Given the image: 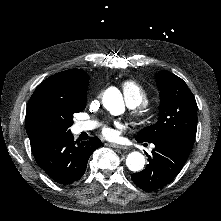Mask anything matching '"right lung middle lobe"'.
Wrapping results in <instances>:
<instances>
[{
	"instance_id": "right-lung-middle-lobe-1",
	"label": "right lung middle lobe",
	"mask_w": 221,
	"mask_h": 221,
	"mask_svg": "<svg viewBox=\"0 0 221 221\" xmlns=\"http://www.w3.org/2000/svg\"><path fill=\"white\" fill-rule=\"evenodd\" d=\"M85 106L86 101L75 103L46 93L32 96L26 111V131L31 147H42L70 135L73 115Z\"/></svg>"
}]
</instances>
